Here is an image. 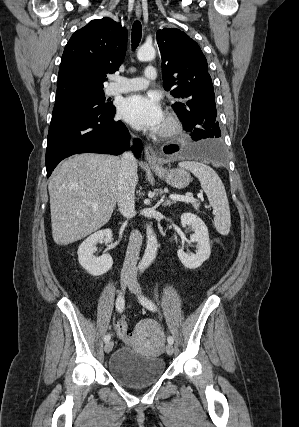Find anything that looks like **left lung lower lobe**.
I'll return each instance as SVG.
<instances>
[{"label":"left lung lower lobe","instance_id":"1","mask_svg":"<svg viewBox=\"0 0 299 427\" xmlns=\"http://www.w3.org/2000/svg\"><path fill=\"white\" fill-rule=\"evenodd\" d=\"M181 121L183 122L184 129L190 132V137L194 141L213 138L208 142L191 144L187 149L190 154L203 156L215 161H224V154L218 139L220 136L217 133L215 134V131L212 129L214 125L213 119L210 117V111L206 107L197 106L187 109L186 112H183ZM178 150L179 147L177 145H170L164 148L166 154Z\"/></svg>","mask_w":299,"mask_h":427}]
</instances>
